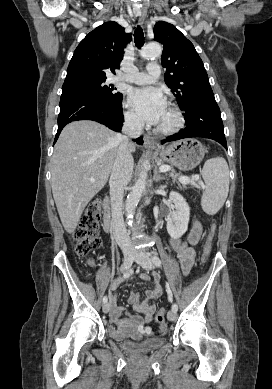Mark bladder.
<instances>
[{
  "label": "bladder",
  "instance_id": "1",
  "mask_svg": "<svg viewBox=\"0 0 272 389\" xmlns=\"http://www.w3.org/2000/svg\"><path fill=\"white\" fill-rule=\"evenodd\" d=\"M110 336L116 340L118 346L128 354L131 355H145L154 352L164 344L163 338H149L143 341H129V340H119L117 337L109 330Z\"/></svg>",
  "mask_w": 272,
  "mask_h": 389
}]
</instances>
